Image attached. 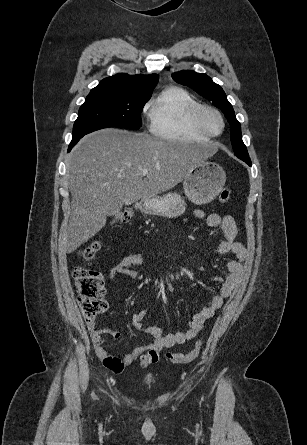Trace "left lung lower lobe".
Listing matches in <instances>:
<instances>
[{"label":"left lung lower lobe","instance_id":"0a47b994","mask_svg":"<svg viewBox=\"0 0 307 445\" xmlns=\"http://www.w3.org/2000/svg\"><path fill=\"white\" fill-rule=\"evenodd\" d=\"M241 160H243L244 162H246L249 166H251V160H250V162H247L245 159H243V158H240Z\"/></svg>","mask_w":307,"mask_h":445}]
</instances>
